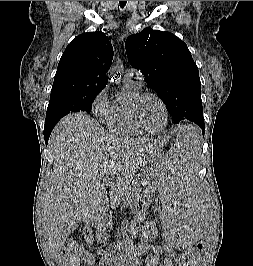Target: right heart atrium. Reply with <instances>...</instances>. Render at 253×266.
I'll list each match as a JSON object with an SVG mask.
<instances>
[{
  "label": "right heart atrium",
  "instance_id": "right-heart-atrium-1",
  "mask_svg": "<svg viewBox=\"0 0 253 266\" xmlns=\"http://www.w3.org/2000/svg\"><path fill=\"white\" fill-rule=\"evenodd\" d=\"M111 102L108 99L107 88H103L94 98L91 106L93 114L100 120L106 121L111 109Z\"/></svg>",
  "mask_w": 253,
  "mask_h": 266
}]
</instances>
